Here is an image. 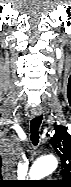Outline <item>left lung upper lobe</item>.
Listing matches in <instances>:
<instances>
[{
	"mask_svg": "<svg viewBox=\"0 0 71 187\" xmlns=\"http://www.w3.org/2000/svg\"><path fill=\"white\" fill-rule=\"evenodd\" d=\"M54 130L55 134L50 143L62 162L63 180L60 183L63 186H68L71 182V135L68 134L64 126H55Z\"/></svg>",
	"mask_w": 71,
	"mask_h": 187,
	"instance_id": "left-lung-upper-lobe-1",
	"label": "left lung upper lobe"
}]
</instances>
